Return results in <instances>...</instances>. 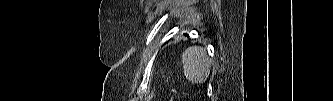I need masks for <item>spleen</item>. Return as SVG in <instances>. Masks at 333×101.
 <instances>
[{
  "mask_svg": "<svg viewBox=\"0 0 333 101\" xmlns=\"http://www.w3.org/2000/svg\"><path fill=\"white\" fill-rule=\"evenodd\" d=\"M184 75L195 84L204 83L211 69L205 49L199 46L187 48L182 55Z\"/></svg>",
  "mask_w": 333,
  "mask_h": 101,
  "instance_id": "1",
  "label": "spleen"
}]
</instances>
